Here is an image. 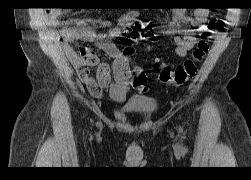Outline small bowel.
I'll list each match as a JSON object with an SVG mask.
<instances>
[{"mask_svg": "<svg viewBox=\"0 0 251 180\" xmlns=\"http://www.w3.org/2000/svg\"><path fill=\"white\" fill-rule=\"evenodd\" d=\"M64 13L63 10L49 11L47 14L48 24L57 26L58 18ZM208 14L209 10L206 8L196 9L193 15H187L183 9L179 8L173 11L172 19L164 33L174 36L177 56L185 57L193 48L196 43L194 32L204 28ZM138 16V11L130 10L120 17L115 26H112L109 20H101L98 23L107 30L99 33L89 26L91 23L89 19L75 20L72 26L61 29L62 47L76 64L78 75L92 96L100 98L103 91L108 90L114 101L122 102L131 88H135L140 93H145L148 90V83L143 72L137 67H131L129 58L111 41L112 38L120 36L125 28L137 21ZM185 24H190L193 29L185 28ZM75 40L93 43L105 51L113 58L112 65L100 63L91 48H83L78 55L71 46V42ZM93 66H97L95 77L89 71V68Z\"/></svg>", "mask_w": 251, "mask_h": 180, "instance_id": "small-bowel-1", "label": "small bowel"}]
</instances>
